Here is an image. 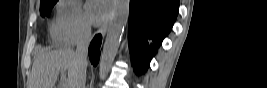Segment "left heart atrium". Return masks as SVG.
<instances>
[{
  "instance_id": "1",
  "label": "left heart atrium",
  "mask_w": 267,
  "mask_h": 88,
  "mask_svg": "<svg viewBox=\"0 0 267 88\" xmlns=\"http://www.w3.org/2000/svg\"><path fill=\"white\" fill-rule=\"evenodd\" d=\"M110 13L108 1L93 0L86 4V15L88 21L93 25H99L107 19Z\"/></svg>"
}]
</instances>
